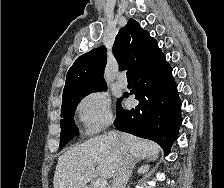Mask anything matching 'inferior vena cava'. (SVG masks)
<instances>
[{
	"mask_svg": "<svg viewBox=\"0 0 224 188\" xmlns=\"http://www.w3.org/2000/svg\"><path fill=\"white\" fill-rule=\"evenodd\" d=\"M108 137L114 144L118 145L120 149L116 171L113 176L112 188H126L131 175L133 158L129 154L124 143L121 141L118 133L109 132Z\"/></svg>",
	"mask_w": 224,
	"mask_h": 188,
	"instance_id": "obj_1",
	"label": "inferior vena cava"
}]
</instances>
